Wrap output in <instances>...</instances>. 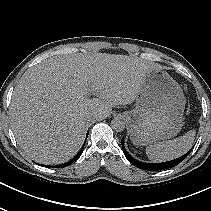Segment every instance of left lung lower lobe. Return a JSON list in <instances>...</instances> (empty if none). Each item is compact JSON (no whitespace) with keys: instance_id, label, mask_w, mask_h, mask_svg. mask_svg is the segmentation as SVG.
<instances>
[{"instance_id":"1","label":"left lung lower lobe","mask_w":211,"mask_h":211,"mask_svg":"<svg viewBox=\"0 0 211 211\" xmlns=\"http://www.w3.org/2000/svg\"><path fill=\"white\" fill-rule=\"evenodd\" d=\"M121 143H122L123 153L126 156V158L138 168L143 169V170H149V171H159V170H165V169L175 167L180 162H182L189 155L191 151L190 150L183 156L171 161L162 162V163H145V162H140L136 160L135 158H133L131 155L128 154V152L126 151L124 147V138H122Z\"/></svg>"}]
</instances>
